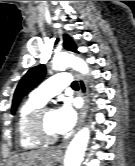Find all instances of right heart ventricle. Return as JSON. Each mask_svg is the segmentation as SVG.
I'll return each mask as SVG.
<instances>
[{
    "mask_svg": "<svg viewBox=\"0 0 135 166\" xmlns=\"http://www.w3.org/2000/svg\"><path fill=\"white\" fill-rule=\"evenodd\" d=\"M44 103L32 95L25 100L19 107L16 116L15 134L19 145L24 149H34L39 147L40 143L31 138L25 129L27 116L35 109L43 106Z\"/></svg>",
    "mask_w": 135,
    "mask_h": 166,
    "instance_id": "obj_1",
    "label": "right heart ventricle"
}]
</instances>
